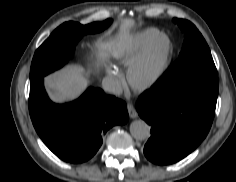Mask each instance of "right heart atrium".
<instances>
[{
  "label": "right heart atrium",
  "instance_id": "obj_1",
  "mask_svg": "<svg viewBox=\"0 0 236 182\" xmlns=\"http://www.w3.org/2000/svg\"><path fill=\"white\" fill-rule=\"evenodd\" d=\"M106 80L108 85L114 90L120 89L124 84L122 73L112 65L106 68Z\"/></svg>",
  "mask_w": 236,
  "mask_h": 182
}]
</instances>
